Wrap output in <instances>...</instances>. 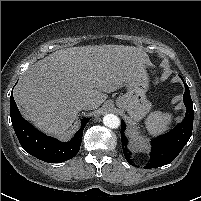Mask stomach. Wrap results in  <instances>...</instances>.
Instances as JSON below:
<instances>
[{"label": "stomach", "instance_id": "1", "mask_svg": "<svg viewBox=\"0 0 201 201\" xmlns=\"http://www.w3.org/2000/svg\"><path fill=\"white\" fill-rule=\"evenodd\" d=\"M127 92L116 100L117 107L126 111L131 120L142 119L151 109V103L146 98L149 88V76L146 68L127 77Z\"/></svg>", "mask_w": 201, "mask_h": 201}]
</instances>
